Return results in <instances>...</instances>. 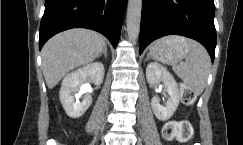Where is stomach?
Wrapping results in <instances>:
<instances>
[{"label":"stomach","mask_w":243,"mask_h":145,"mask_svg":"<svg viewBox=\"0 0 243 145\" xmlns=\"http://www.w3.org/2000/svg\"><path fill=\"white\" fill-rule=\"evenodd\" d=\"M183 39V41L178 40ZM189 53L187 40L182 37H166L155 42L150 48V55L165 64H176Z\"/></svg>","instance_id":"obj_1"}]
</instances>
